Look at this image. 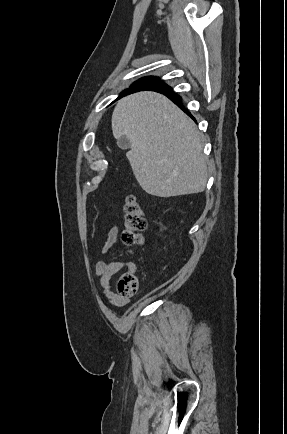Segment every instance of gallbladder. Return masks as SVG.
Wrapping results in <instances>:
<instances>
[{"instance_id":"bac80fb5","label":"gallbladder","mask_w":287,"mask_h":434,"mask_svg":"<svg viewBox=\"0 0 287 434\" xmlns=\"http://www.w3.org/2000/svg\"><path fill=\"white\" fill-rule=\"evenodd\" d=\"M117 145L120 149L126 150L130 147V140L123 135L117 139Z\"/></svg>"}]
</instances>
